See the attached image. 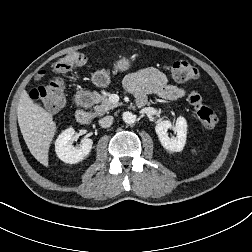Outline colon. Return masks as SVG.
I'll list each match as a JSON object with an SVG mask.
<instances>
[{
  "label": "colon",
  "mask_w": 252,
  "mask_h": 252,
  "mask_svg": "<svg viewBox=\"0 0 252 252\" xmlns=\"http://www.w3.org/2000/svg\"><path fill=\"white\" fill-rule=\"evenodd\" d=\"M87 57L81 52H75L59 59L55 67L60 72L72 68L84 66ZM172 79L178 82H186L197 78L198 70L185 60L175 61L170 68ZM30 97L47 109L60 108L65 101V86L61 79L55 78L47 85L39 86L31 90ZM188 102L194 107L198 121L206 128L214 127L219 120L218 113L211 107L205 105L202 95L197 91H191Z\"/></svg>",
  "instance_id": "5ec220e1"
}]
</instances>
